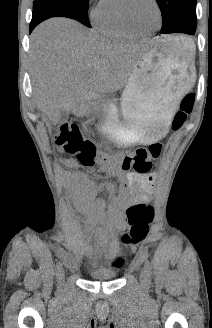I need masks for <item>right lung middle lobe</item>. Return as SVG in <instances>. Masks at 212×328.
Returning <instances> with one entry per match:
<instances>
[{"instance_id":"1","label":"right lung middle lobe","mask_w":212,"mask_h":328,"mask_svg":"<svg viewBox=\"0 0 212 328\" xmlns=\"http://www.w3.org/2000/svg\"><path fill=\"white\" fill-rule=\"evenodd\" d=\"M88 6L89 0H34L33 11L63 12L69 15L67 17L91 28L87 14Z\"/></svg>"}]
</instances>
